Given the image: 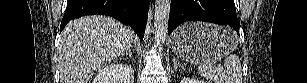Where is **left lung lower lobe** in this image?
I'll return each mask as SVG.
<instances>
[{"label":"left lung lower lobe","mask_w":307,"mask_h":83,"mask_svg":"<svg viewBox=\"0 0 307 83\" xmlns=\"http://www.w3.org/2000/svg\"><path fill=\"white\" fill-rule=\"evenodd\" d=\"M185 21L228 24L239 33L234 0H171L168 34Z\"/></svg>","instance_id":"0a47b994"}]
</instances>
